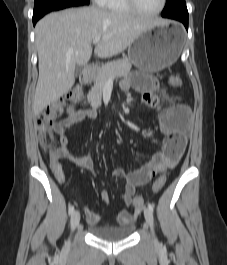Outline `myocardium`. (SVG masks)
Segmentation results:
<instances>
[{
    "label": "myocardium",
    "mask_w": 227,
    "mask_h": 265,
    "mask_svg": "<svg viewBox=\"0 0 227 265\" xmlns=\"http://www.w3.org/2000/svg\"><path fill=\"white\" fill-rule=\"evenodd\" d=\"M126 1L129 7L134 11V13L145 17H152L161 13L164 10L167 2V0H161V5L157 10L153 12H143L142 10L139 9L136 0H126Z\"/></svg>",
    "instance_id": "obj_1"
}]
</instances>
